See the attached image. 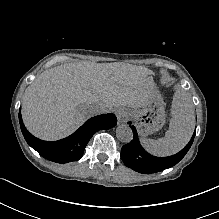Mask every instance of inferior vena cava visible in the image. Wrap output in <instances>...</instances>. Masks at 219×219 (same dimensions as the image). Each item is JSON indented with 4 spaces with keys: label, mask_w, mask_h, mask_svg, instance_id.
<instances>
[{
    "label": "inferior vena cava",
    "mask_w": 219,
    "mask_h": 219,
    "mask_svg": "<svg viewBox=\"0 0 219 219\" xmlns=\"http://www.w3.org/2000/svg\"><path fill=\"white\" fill-rule=\"evenodd\" d=\"M90 111L95 117H102L106 112L105 107L102 104H95L90 106Z\"/></svg>",
    "instance_id": "inferior-vena-cava-1"
}]
</instances>
